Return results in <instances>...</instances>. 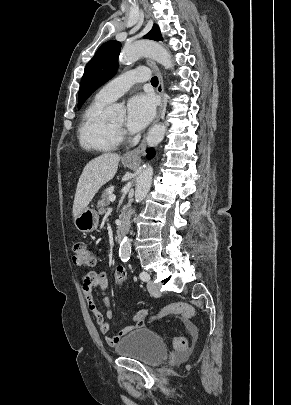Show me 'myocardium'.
I'll return each instance as SVG.
<instances>
[{
    "label": "myocardium",
    "instance_id": "myocardium-1",
    "mask_svg": "<svg viewBox=\"0 0 291 405\" xmlns=\"http://www.w3.org/2000/svg\"><path fill=\"white\" fill-rule=\"evenodd\" d=\"M111 125H112V128H113V130L115 131V133L117 134L118 137H119L120 135H122V133H123L122 127H116V126H114L113 124H111Z\"/></svg>",
    "mask_w": 291,
    "mask_h": 405
}]
</instances>
